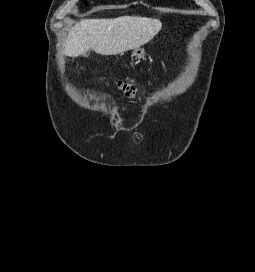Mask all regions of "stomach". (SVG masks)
Returning a JSON list of instances; mask_svg holds the SVG:
<instances>
[{"mask_svg":"<svg viewBox=\"0 0 255 272\" xmlns=\"http://www.w3.org/2000/svg\"><path fill=\"white\" fill-rule=\"evenodd\" d=\"M132 57H135L136 60L145 58V50L143 48L134 49L132 52Z\"/></svg>","mask_w":255,"mask_h":272,"instance_id":"stomach-1","label":"stomach"}]
</instances>
